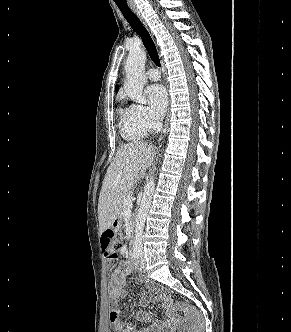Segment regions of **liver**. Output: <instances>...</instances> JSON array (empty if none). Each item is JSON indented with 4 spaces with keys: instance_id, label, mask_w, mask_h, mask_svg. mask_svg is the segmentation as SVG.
<instances>
[{
    "instance_id": "1",
    "label": "liver",
    "mask_w": 291,
    "mask_h": 332,
    "mask_svg": "<svg viewBox=\"0 0 291 332\" xmlns=\"http://www.w3.org/2000/svg\"><path fill=\"white\" fill-rule=\"evenodd\" d=\"M156 148L144 142L123 145L107 169L98 201L99 233L120 216L121 199L144 176L153 162Z\"/></svg>"
}]
</instances>
